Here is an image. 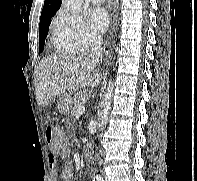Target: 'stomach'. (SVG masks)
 <instances>
[{"instance_id":"stomach-1","label":"stomach","mask_w":197,"mask_h":181,"mask_svg":"<svg viewBox=\"0 0 197 181\" xmlns=\"http://www.w3.org/2000/svg\"><path fill=\"white\" fill-rule=\"evenodd\" d=\"M73 103L72 96L68 93H64L60 96L58 102V110L61 114H68L70 112L71 105Z\"/></svg>"}]
</instances>
